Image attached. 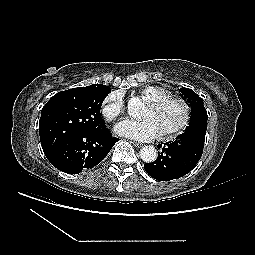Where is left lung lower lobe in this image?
<instances>
[{
  "label": "left lung lower lobe",
  "instance_id": "1",
  "mask_svg": "<svg viewBox=\"0 0 255 255\" xmlns=\"http://www.w3.org/2000/svg\"><path fill=\"white\" fill-rule=\"evenodd\" d=\"M205 128L179 135L175 141L159 144L161 150L153 163L145 164V171L159 181L178 179L189 173L202 156Z\"/></svg>",
  "mask_w": 255,
  "mask_h": 255
}]
</instances>
